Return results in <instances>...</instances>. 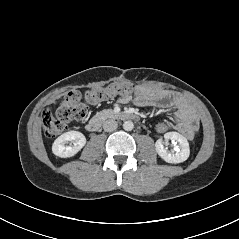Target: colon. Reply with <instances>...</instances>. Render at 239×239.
Masks as SVG:
<instances>
[{"mask_svg":"<svg viewBox=\"0 0 239 239\" xmlns=\"http://www.w3.org/2000/svg\"><path fill=\"white\" fill-rule=\"evenodd\" d=\"M137 92L131 83H112L105 87L87 89L84 93L69 92L53 116L52 110L47 108L42 112L41 119L47 136L56 137L68 128L70 123L83 120L89 111V105H96L108 101L115 96H129ZM154 130L159 136H166L173 130L170 120H157Z\"/></svg>","mask_w":239,"mask_h":239,"instance_id":"1","label":"colon"}]
</instances>
